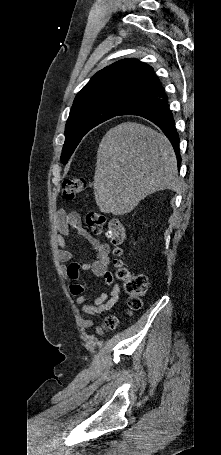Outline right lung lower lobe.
I'll use <instances>...</instances> for the list:
<instances>
[{
    "mask_svg": "<svg viewBox=\"0 0 221 455\" xmlns=\"http://www.w3.org/2000/svg\"><path fill=\"white\" fill-rule=\"evenodd\" d=\"M120 115H137L155 123L167 136L177 156L178 166L181 162L179 152V135L175 129L173 114L168 108L167 96L160 81L144 98L126 108Z\"/></svg>",
    "mask_w": 221,
    "mask_h": 455,
    "instance_id": "right-lung-lower-lobe-1",
    "label": "right lung lower lobe"
}]
</instances>
